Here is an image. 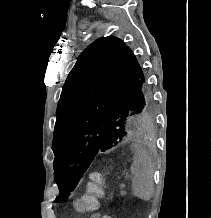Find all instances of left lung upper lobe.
Wrapping results in <instances>:
<instances>
[{
  "instance_id": "obj_1",
  "label": "left lung upper lobe",
  "mask_w": 211,
  "mask_h": 218,
  "mask_svg": "<svg viewBox=\"0 0 211 218\" xmlns=\"http://www.w3.org/2000/svg\"><path fill=\"white\" fill-rule=\"evenodd\" d=\"M52 149L56 202L66 200L99 152L149 126L152 93L141 66L114 36L90 44L69 73L57 107Z\"/></svg>"
}]
</instances>
